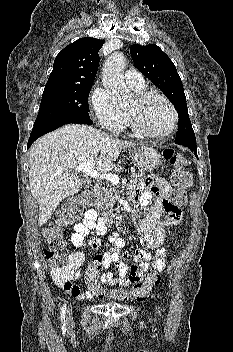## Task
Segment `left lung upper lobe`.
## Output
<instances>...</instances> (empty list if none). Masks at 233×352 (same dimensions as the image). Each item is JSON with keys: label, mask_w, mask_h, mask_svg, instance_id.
<instances>
[{"label": "left lung upper lobe", "mask_w": 233, "mask_h": 352, "mask_svg": "<svg viewBox=\"0 0 233 352\" xmlns=\"http://www.w3.org/2000/svg\"><path fill=\"white\" fill-rule=\"evenodd\" d=\"M135 66L150 79L171 101L178 112L179 125L175 143L196 144L195 134L189 119L182 81L170 58L155 44L130 48Z\"/></svg>", "instance_id": "1"}]
</instances>
